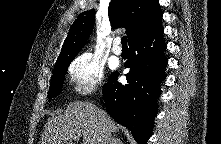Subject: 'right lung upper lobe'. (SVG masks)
<instances>
[{
  "label": "right lung upper lobe",
  "mask_w": 221,
  "mask_h": 144,
  "mask_svg": "<svg viewBox=\"0 0 221 144\" xmlns=\"http://www.w3.org/2000/svg\"><path fill=\"white\" fill-rule=\"evenodd\" d=\"M113 28H126L129 43L160 24L159 0H111L108 8ZM95 21L94 9L81 13L64 41L55 66L71 62L85 45Z\"/></svg>",
  "instance_id": "cb5924a9"
}]
</instances>
